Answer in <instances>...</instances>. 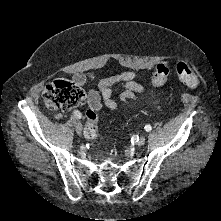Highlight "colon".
Listing matches in <instances>:
<instances>
[{
	"mask_svg": "<svg viewBox=\"0 0 221 221\" xmlns=\"http://www.w3.org/2000/svg\"><path fill=\"white\" fill-rule=\"evenodd\" d=\"M172 65L169 62L159 63L151 77V83L155 87L164 85L170 75ZM175 70L179 78L189 86L199 83L198 75L186 62H178ZM84 91L76 84L67 80H56L48 84L43 91V100L48 108L55 111L58 116L72 107L78 106L84 100ZM99 115L97 110L90 108L86 112L85 136L95 139L98 132Z\"/></svg>",
	"mask_w": 221,
	"mask_h": 221,
	"instance_id": "1",
	"label": "colon"
}]
</instances>
